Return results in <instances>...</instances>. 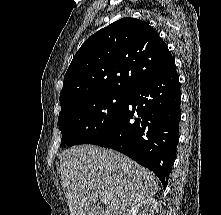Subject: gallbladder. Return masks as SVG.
Wrapping results in <instances>:
<instances>
[{
    "label": "gallbladder",
    "instance_id": "1",
    "mask_svg": "<svg viewBox=\"0 0 221 215\" xmlns=\"http://www.w3.org/2000/svg\"><path fill=\"white\" fill-rule=\"evenodd\" d=\"M102 208L97 205H91L85 209V215H101Z\"/></svg>",
    "mask_w": 221,
    "mask_h": 215
}]
</instances>
